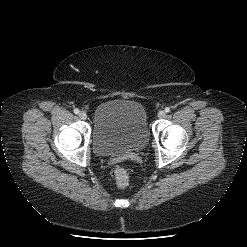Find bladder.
<instances>
[{
	"label": "bladder",
	"mask_w": 247,
	"mask_h": 247,
	"mask_svg": "<svg viewBox=\"0 0 247 247\" xmlns=\"http://www.w3.org/2000/svg\"><path fill=\"white\" fill-rule=\"evenodd\" d=\"M149 141L145 107L132 99H111L93 115L92 145L100 156H123L144 149Z\"/></svg>",
	"instance_id": "31cf9c89"
}]
</instances>
